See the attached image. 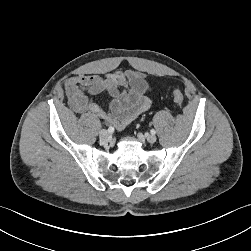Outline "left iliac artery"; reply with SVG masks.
I'll list each match as a JSON object with an SVG mask.
<instances>
[{
	"instance_id": "1",
	"label": "left iliac artery",
	"mask_w": 251,
	"mask_h": 251,
	"mask_svg": "<svg viewBox=\"0 0 251 251\" xmlns=\"http://www.w3.org/2000/svg\"><path fill=\"white\" fill-rule=\"evenodd\" d=\"M150 132H151V134H153V135L156 133V131H155L154 129H152Z\"/></svg>"
}]
</instances>
